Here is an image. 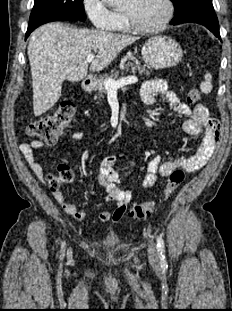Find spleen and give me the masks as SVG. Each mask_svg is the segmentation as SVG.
I'll use <instances>...</instances> for the list:
<instances>
[{
	"label": "spleen",
	"instance_id": "1",
	"mask_svg": "<svg viewBox=\"0 0 232 311\" xmlns=\"http://www.w3.org/2000/svg\"><path fill=\"white\" fill-rule=\"evenodd\" d=\"M212 75L210 73L205 74V81L200 85V89L203 93L208 94L212 91Z\"/></svg>",
	"mask_w": 232,
	"mask_h": 311
}]
</instances>
